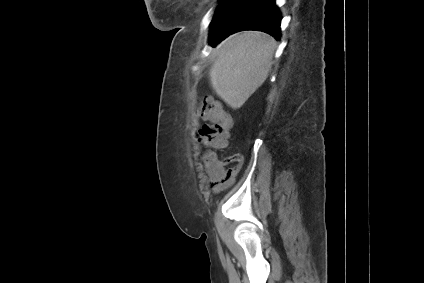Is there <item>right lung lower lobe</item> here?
I'll return each mask as SVG.
<instances>
[{
  "mask_svg": "<svg viewBox=\"0 0 424 283\" xmlns=\"http://www.w3.org/2000/svg\"><path fill=\"white\" fill-rule=\"evenodd\" d=\"M281 15L275 0H228L212 20L209 40L214 46L229 34L259 30L280 39Z\"/></svg>",
  "mask_w": 424,
  "mask_h": 283,
  "instance_id": "obj_1",
  "label": "right lung lower lobe"
}]
</instances>
